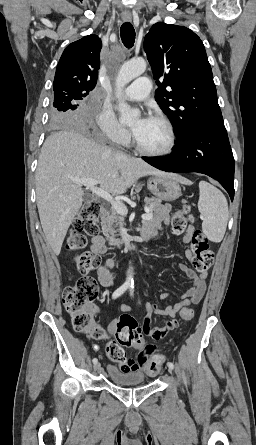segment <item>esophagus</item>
<instances>
[{"label":"esophagus","mask_w":256,"mask_h":445,"mask_svg":"<svg viewBox=\"0 0 256 445\" xmlns=\"http://www.w3.org/2000/svg\"><path fill=\"white\" fill-rule=\"evenodd\" d=\"M123 20L124 21H131V17H124Z\"/></svg>","instance_id":"obj_1"}]
</instances>
